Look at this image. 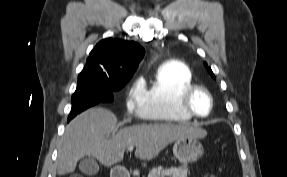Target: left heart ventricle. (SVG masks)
I'll list each match as a JSON object with an SVG mask.
<instances>
[{
	"label": "left heart ventricle",
	"instance_id": "b2bd125f",
	"mask_svg": "<svg viewBox=\"0 0 287 177\" xmlns=\"http://www.w3.org/2000/svg\"><path fill=\"white\" fill-rule=\"evenodd\" d=\"M192 106L199 115H206L210 107L207 95L204 92H197L192 98Z\"/></svg>",
	"mask_w": 287,
	"mask_h": 177
}]
</instances>
